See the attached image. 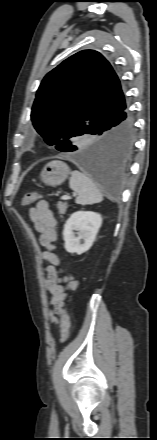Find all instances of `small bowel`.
I'll return each instance as SVG.
<instances>
[{"label":"small bowel","mask_w":157,"mask_h":440,"mask_svg":"<svg viewBox=\"0 0 157 440\" xmlns=\"http://www.w3.org/2000/svg\"><path fill=\"white\" fill-rule=\"evenodd\" d=\"M28 216L39 233L40 244L46 248L42 253L43 257L50 262L46 267V287L52 295L50 304L55 307V313L59 314L57 307L64 302L66 290H73L77 286V282L72 277H61V270L57 268L59 265L58 257L52 252L55 248L54 242L57 239L56 219L53 212L44 200L39 201L35 207L28 211ZM63 283H67L64 287ZM52 322L57 323L58 319L55 315H51Z\"/></svg>","instance_id":"1"}]
</instances>
